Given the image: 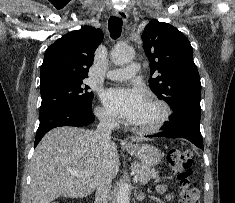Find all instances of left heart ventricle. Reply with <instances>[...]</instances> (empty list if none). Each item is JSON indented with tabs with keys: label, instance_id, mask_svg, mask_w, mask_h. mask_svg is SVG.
Returning <instances> with one entry per match:
<instances>
[{
	"label": "left heart ventricle",
	"instance_id": "left-heart-ventricle-1",
	"mask_svg": "<svg viewBox=\"0 0 235 203\" xmlns=\"http://www.w3.org/2000/svg\"><path fill=\"white\" fill-rule=\"evenodd\" d=\"M159 116V109L155 105L147 102L139 115L132 121L134 125H149Z\"/></svg>",
	"mask_w": 235,
	"mask_h": 203
}]
</instances>
